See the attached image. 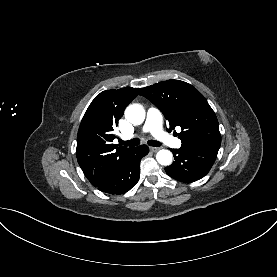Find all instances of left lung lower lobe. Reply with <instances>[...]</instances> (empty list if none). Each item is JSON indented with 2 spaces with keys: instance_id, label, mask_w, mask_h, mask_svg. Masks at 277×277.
I'll list each match as a JSON object with an SVG mask.
<instances>
[{
  "instance_id": "0a47b994",
  "label": "left lung lower lobe",
  "mask_w": 277,
  "mask_h": 277,
  "mask_svg": "<svg viewBox=\"0 0 277 277\" xmlns=\"http://www.w3.org/2000/svg\"><path fill=\"white\" fill-rule=\"evenodd\" d=\"M220 144L184 145L173 149L175 161L166 173L181 182H194L204 177L215 162Z\"/></svg>"
}]
</instances>
